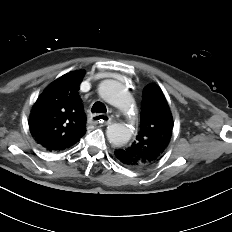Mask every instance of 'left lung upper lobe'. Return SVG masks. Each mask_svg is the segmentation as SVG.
Wrapping results in <instances>:
<instances>
[{
    "mask_svg": "<svg viewBox=\"0 0 232 232\" xmlns=\"http://www.w3.org/2000/svg\"><path fill=\"white\" fill-rule=\"evenodd\" d=\"M142 98L139 133L130 146L122 148L136 162L134 168L156 163L165 153L173 129L172 114L162 90L149 84Z\"/></svg>",
    "mask_w": 232,
    "mask_h": 232,
    "instance_id": "5c2ea615",
    "label": "left lung upper lobe"
}]
</instances>
